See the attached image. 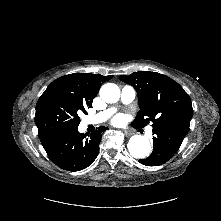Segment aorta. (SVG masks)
<instances>
[{"label":"aorta","mask_w":221,"mask_h":221,"mask_svg":"<svg viewBox=\"0 0 221 221\" xmlns=\"http://www.w3.org/2000/svg\"><path fill=\"white\" fill-rule=\"evenodd\" d=\"M100 97L106 103H115L120 98V89L114 83H106L100 89ZM127 147L131 156L137 159H144L151 152L149 139L141 135L132 136Z\"/></svg>","instance_id":"1"}]
</instances>
